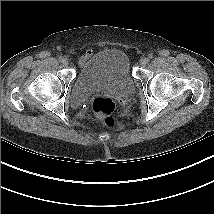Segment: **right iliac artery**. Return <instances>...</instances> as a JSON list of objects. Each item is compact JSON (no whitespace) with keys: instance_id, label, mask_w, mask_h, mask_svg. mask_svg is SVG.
I'll return each instance as SVG.
<instances>
[{"instance_id":"82829eb1","label":"right iliac artery","mask_w":214,"mask_h":214,"mask_svg":"<svg viewBox=\"0 0 214 214\" xmlns=\"http://www.w3.org/2000/svg\"><path fill=\"white\" fill-rule=\"evenodd\" d=\"M59 61H60V62H63V61H64V58H63V57H59Z\"/></svg>"}]
</instances>
